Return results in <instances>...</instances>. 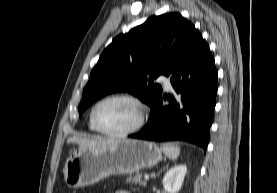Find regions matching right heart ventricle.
I'll list each match as a JSON object with an SVG mask.
<instances>
[{
	"label": "right heart ventricle",
	"mask_w": 277,
	"mask_h": 193,
	"mask_svg": "<svg viewBox=\"0 0 277 193\" xmlns=\"http://www.w3.org/2000/svg\"><path fill=\"white\" fill-rule=\"evenodd\" d=\"M88 128H89L90 131H93V132L96 131V130L94 129V127L92 126L90 120H89V123H88Z\"/></svg>",
	"instance_id": "e07e8e85"
}]
</instances>
